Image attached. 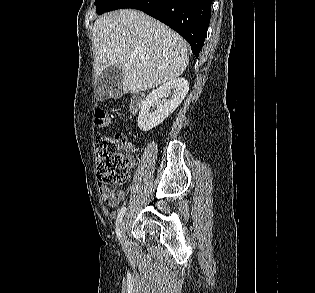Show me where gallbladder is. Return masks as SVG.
<instances>
[{
    "label": "gallbladder",
    "instance_id": "bac80fb5",
    "mask_svg": "<svg viewBox=\"0 0 315 293\" xmlns=\"http://www.w3.org/2000/svg\"><path fill=\"white\" fill-rule=\"evenodd\" d=\"M122 80L123 72L119 67L109 66L104 69L97 79L100 92L103 94L100 98L104 99L106 96L115 99L120 98L122 96Z\"/></svg>",
    "mask_w": 315,
    "mask_h": 293
}]
</instances>
